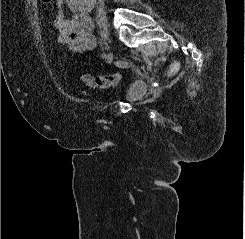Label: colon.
Wrapping results in <instances>:
<instances>
[{"label": "colon", "instance_id": "5ec220e1", "mask_svg": "<svg viewBox=\"0 0 245 239\" xmlns=\"http://www.w3.org/2000/svg\"><path fill=\"white\" fill-rule=\"evenodd\" d=\"M43 3H50L52 0H41ZM178 64L176 62L170 65V73L176 72ZM121 79L119 73H113L104 76H93L91 74H83L81 76L82 82L89 88L93 89H108L115 86Z\"/></svg>", "mask_w": 245, "mask_h": 239}]
</instances>
